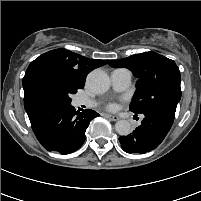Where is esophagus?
<instances>
[{
    "instance_id": "1",
    "label": "esophagus",
    "mask_w": 201,
    "mask_h": 201,
    "mask_svg": "<svg viewBox=\"0 0 201 201\" xmlns=\"http://www.w3.org/2000/svg\"><path fill=\"white\" fill-rule=\"evenodd\" d=\"M107 118H109L112 121H118L119 120L118 116L110 115V114H107Z\"/></svg>"
}]
</instances>
